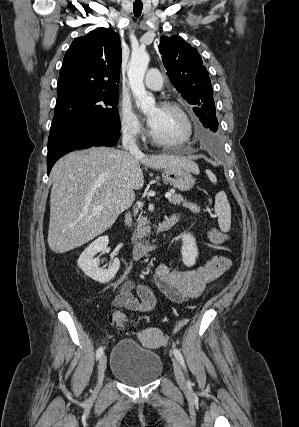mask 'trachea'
I'll list each match as a JSON object with an SVG mask.
<instances>
[{"mask_svg": "<svg viewBox=\"0 0 299 427\" xmlns=\"http://www.w3.org/2000/svg\"><path fill=\"white\" fill-rule=\"evenodd\" d=\"M143 4H133V13L135 17H139L142 13Z\"/></svg>", "mask_w": 299, "mask_h": 427, "instance_id": "3493384b", "label": "trachea"}]
</instances>
